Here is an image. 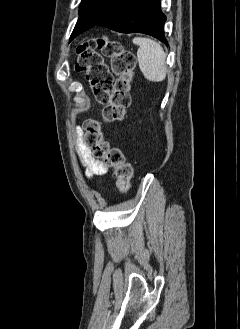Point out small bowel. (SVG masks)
<instances>
[{
  "label": "small bowel",
  "mask_w": 240,
  "mask_h": 329,
  "mask_svg": "<svg viewBox=\"0 0 240 329\" xmlns=\"http://www.w3.org/2000/svg\"><path fill=\"white\" fill-rule=\"evenodd\" d=\"M77 134V150L82 165L86 169V175L88 177L103 175L107 172L108 168L103 161L96 159L89 147L84 143V131L82 127L76 128Z\"/></svg>",
  "instance_id": "small-bowel-1"
}]
</instances>
